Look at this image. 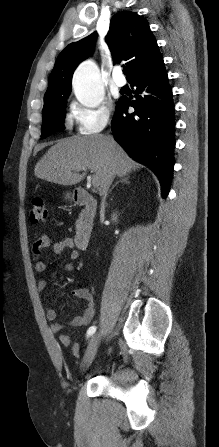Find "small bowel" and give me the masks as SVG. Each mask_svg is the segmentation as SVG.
I'll return each mask as SVG.
<instances>
[{
	"label": "small bowel",
	"instance_id": "c3829d8e",
	"mask_svg": "<svg viewBox=\"0 0 219 447\" xmlns=\"http://www.w3.org/2000/svg\"><path fill=\"white\" fill-rule=\"evenodd\" d=\"M50 246H52L54 252L56 253H62L66 250L69 251L70 262H68L65 265V271L66 272L73 271L74 269L73 261L78 260L80 256L78 249L75 247L74 240L70 237H64L52 244L50 237L48 235L43 234L39 236L37 240L34 242L33 249L35 254L39 255L43 249L48 248ZM35 270L40 273L44 272L46 270L45 261L40 259L37 260L35 263ZM37 287L39 291H44L47 287V282L45 280H39ZM72 295L85 301V309L83 313L80 316L74 317L73 319L69 320L66 323H62L57 320L56 310L54 308H47L46 318L50 323V329L52 332L57 333L66 326L83 327L91 322L95 311V301L89 288L86 286L74 288L72 290ZM60 341L66 347L71 346V338L68 335H61ZM72 352L76 356L79 355L80 347L78 344L72 345Z\"/></svg>",
	"mask_w": 219,
	"mask_h": 447
}]
</instances>
